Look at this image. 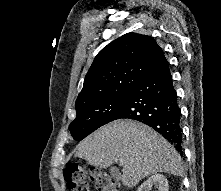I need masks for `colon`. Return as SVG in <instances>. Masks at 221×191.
I'll use <instances>...</instances> for the list:
<instances>
[{
    "label": "colon",
    "instance_id": "obj_1",
    "mask_svg": "<svg viewBox=\"0 0 221 191\" xmlns=\"http://www.w3.org/2000/svg\"><path fill=\"white\" fill-rule=\"evenodd\" d=\"M64 179L70 191H90L89 180L94 182L98 191H121L120 184L108 173L74 162L66 166Z\"/></svg>",
    "mask_w": 221,
    "mask_h": 191
}]
</instances>
